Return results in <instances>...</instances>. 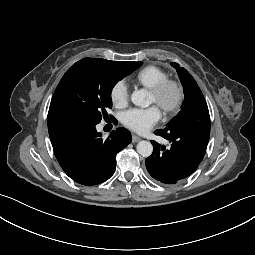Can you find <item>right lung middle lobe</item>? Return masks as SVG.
<instances>
[{
  "instance_id": "dd1d6c3e",
  "label": "right lung middle lobe",
  "mask_w": 255,
  "mask_h": 255,
  "mask_svg": "<svg viewBox=\"0 0 255 255\" xmlns=\"http://www.w3.org/2000/svg\"><path fill=\"white\" fill-rule=\"evenodd\" d=\"M142 62L87 61L73 65L60 80L48 118L75 117L100 122L112 108L111 91Z\"/></svg>"
}]
</instances>
